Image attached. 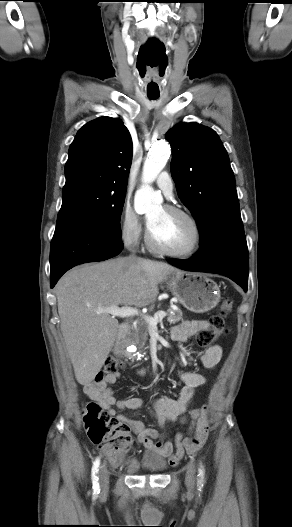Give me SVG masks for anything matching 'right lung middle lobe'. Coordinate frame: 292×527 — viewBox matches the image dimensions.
Returning <instances> with one entry per match:
<instances>
[{"instance_id":"right-lung-middle-lobe-1","label":"right lung middle lobe","mask_w":292,"mask_h":527,"mask_svg":"<svg viewBox=\"0 0 292 527\" xmlns=\"http://www.w3.org/2000/svg\"><path fill=\"white\" fill-rule=\"evenodd\" d=\"M125 194L126 190L89 183L65 184L57 224L88 225L121 237L120 216Z\"/></svg>"}]
</instances>
